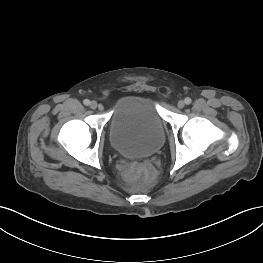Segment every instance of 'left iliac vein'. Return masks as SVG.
<instances>
[{"label":"left iliac vein","instance_id":"4c4485c4","mask_svg":"<svg viewBox=\"0 0 263 263\" xmlns=\"http://www.w3.org/2000/svg\"><path fill=\"white\" fill-rule=\"evenodd\" d=\"M184 106H185V102H184L183 100H180V101L177 103V107L180 108V109L184 108Z\"/></svg>","mask_w":263,"mask_h":263}]
</instances>
